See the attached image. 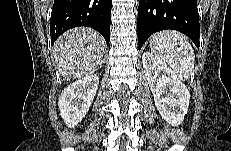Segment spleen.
Wrapping results in <instances>:
<instances>
[{"mask_svg": "<svg viewBox=\"0 0 231 151\" xmlns=\"http://www.w3.org/2000/svg\"><path fill=\"white\" fill-rule=\"evenodd\" d=\"M152 52L166 62L180 80L189 79L195 63L194 50L187 37L174 30L153 34L150 38Z\"/></svg>", "mask_w": 231, "mask_h": 151, "instance_id": "spleen-1", "label": "spleen"}]
</instances>
